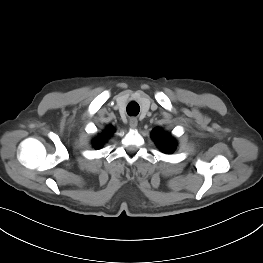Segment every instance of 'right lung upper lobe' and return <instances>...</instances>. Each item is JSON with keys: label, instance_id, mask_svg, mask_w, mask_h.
Listing matches in <instances>:
<instances>
[{"label": "right lung upper lobe", "instance_id": "cb5924a9", "mask_svg": "<svg viewBox=\"0 0 263 263\" xmlns=\"http://www.w3.org/2000/svg\"><path fill=\"white\" fill-rule=\"evenodd\" d=\"M113 133V127H108L104 132L103 135H99V138L93 140V145L95 148L102 147L103 143L106 141V137Z\"/></svg>", "mask_w": 263, "mask_h": 263}]
</instances>
